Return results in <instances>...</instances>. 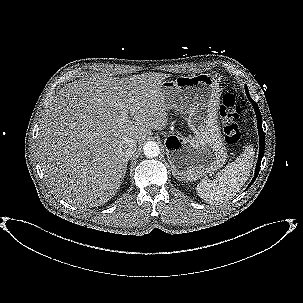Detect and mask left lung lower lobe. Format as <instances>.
Segmentation results:
<instances>
[{"mask_svg": "<svg viewBox=\"0 0 303 303\" xmlns=\"http://www.w3.org/2000/svg\"><path fill=\"white\" fill-rule=\"evenodd\" d=\"M245 90H246V94L248 96V99L252 103V105L255 109V112H256L258 133H259V140H260V147H259L260 150H259V157H258V160H257L256 169H255V176H254V178L252 179V181L250 182V184L248 186V187H250L252 185V183L255 181L256 177L258 176V173H259V170H260L261 160H262L263 154H264L265 137H264V132H263V129H262V117H261V113L259 111L258 105L256 104V102L254 100L251 99L247 87H245Z\"/></svg>", "mask_w": 303, "mask_h": 303, "instance_id": "left-lung-lower-lobe-1", "label": "left lung lower lobe"}]
</instances>
